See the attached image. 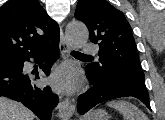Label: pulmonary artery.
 I'll use <instances>...</instances> for the list:
<instances>
[{"label":"pulmonary artery","instance_id":"1","mask_svg":"<svg viewBox=\"0 0 165 120\" xmlns=\"http://www.w3.org/2000/svg\"><path fill=\"white\" fill-rule=\"evenodd\" d=\"M84 54H96L98 52V47L92 43H86L82 47Z\"/></svg>","mask_w":165,"mask_h":120}]
</instances>
